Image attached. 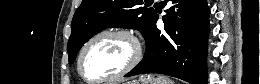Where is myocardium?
Here are the masks:
<instances>
[{
    "mask_svg": "<svg viewBox=\"0 0 260 84\" xmlns=\"http://www.w3.org/2000/svg\"><path fill=\"white\" fill-rule=\"evenodd\" d=\"M104 36H118L126 39L133 47V53L130 58V60L127 62V64L117 73L110 75L108 77L92 81L88 79L82 72V60L83 57L87 51V49L99 38ZM143 55V49L141 41L136 33H134L132 30H129L127 28H106L103 29L96 34H94L92 37H90L87 42L83 45L81 48L78 58H77V72L78 75L82 80H84L87 83L90 84H102L107 83L116 79H119L132 71L141 61Z\"/></svg>",
    "mask_w": 260,
    "mask_h": 84,
    "instance_id": "obj_1",
    "label": "myocardium"
}]
</instances>
